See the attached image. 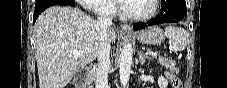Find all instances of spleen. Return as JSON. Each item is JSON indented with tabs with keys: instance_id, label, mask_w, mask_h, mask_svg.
Listing matches in <instances>:
<instances>
[{
	"instance_id": "spleen-1",
	"label": "spleen",
	"mask_w": 227,
	"mask_h": 88,
	"mask_svg": "<svg viewBox=\"0 0 227 88\" xmlns=\"http://www.w3.org/2000/svg\"><path fill=\"white\" fill-rule=\"evenodd\" d=\"M165 35L174 51H183L186 49L189 41V33L182 27L169 25L165 28Z\"/></svg>"
}]
</instances>
